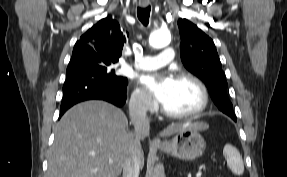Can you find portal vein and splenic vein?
Instances as JSON below:
<instances>
[{"mask_svg":"<svg viewBox=\"0 0 287 177\" xmlns=\"http://www.w3.org/2000/svg\"><path fill=\"white\" fill-rule=\"evenodd\" d=\"M109 162L112 163L113 160H112V159H109ZM201 175H202V172H201V170H199V171L197 172V174H196V177H201Z\"/></svg>","mask_w":287,"mask_h":177,"instance_id":"portal-vein-and-splenic-vein-1","label":"portal vein and splenic vein"}]
</instances>
